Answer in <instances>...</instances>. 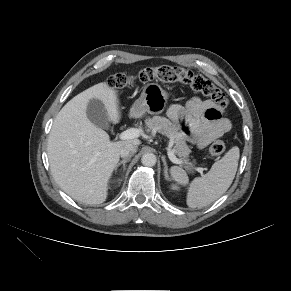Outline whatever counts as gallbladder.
Returning a JSON list of instances; mask_svg holds the SVG:
<instances>
[{
	"instance_id": "1",
	"label": "gallbladder",
	"mask_w": 291,
	"mask_h": 291,
	"mask_svg": "<svg viewBox=\"0 0 291 291\" xmlns=\"http://www.w3.org/2000/svg\"><path fill=\"white\" fill-rule=\"evenodd\" d=\"M88 119L97 127L108 129L110 121L108 119L105 105L98 99H90L86 109Z\"/></svg>"
}]
</instances>
